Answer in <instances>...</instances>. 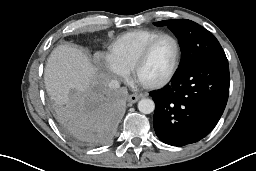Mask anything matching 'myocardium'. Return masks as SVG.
I'll use <instances>...</instances> for the list:
<instances>
[{"label": "myocardium", "mask_w": 256, "mask_h": 171, "mask_svg": "<svg viewBox=\"0 0 256 171\" xmlns=\"http://www.w3.org/2000/svg\"><path fill=\"white\" fill-rule=\"evenodd\" d=\"M163 38L171 39L175 45V49H176L175 59H174V63H173L171 70L164 78H162L159 81L151 82V83H145V82L140 81V79L138 77L140 69L145 64L147 59L149 58L150 53H151L152 49L154 48V46ZM180 62H181V46H180L178 39L175 36H173L172 34L161 33L160 35L156 36L151 41H149L147 43V45L143 48V50L141 51L140 55L136 59L134 65L131 69L132 76H133V79L138 84H140L142 87L147 88V89H158V88H161V87L165 86L166 84H168L174 78V76L176 75V73L179 69Z\"/></svg>", "instance_id": "obj_1"}]
</instances>
